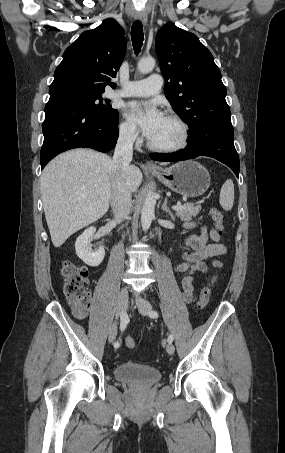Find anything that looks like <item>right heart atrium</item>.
Segmentation results:
<instances>
[{"label": "right heart atrium", "mask_w": 285, "mask_h": 453, "mask_svg": "<svg viewBox=\"0 0 285 453\" xmlns=\"http://www.w3.org/2000/svg\"><path fill=\"white\" fill-rule=\"evenodd\" d=\"M119 138L128 145L139 143L140 137L136 125L130 120H123L119 124Z\"/></svg>", "instance_id": "obj_1"}]
</instances>
